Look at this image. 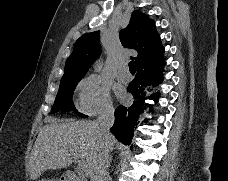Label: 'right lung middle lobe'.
Instances as JSON below:
<instances>
[{"label": "right lung middle lobe", "mask_w": 228, "mask_h": 181, "mask_svg": "<svg viewBox=\"0 0 228 181\" xmlns=\"http://www.w3.org/2000/svg\"><path fill=\"white\" fill-rule=\"evenodd\" d=\"M79 81L80 80L60 83V89L56 96V99L52 108V113H55L57 110L76 112V109L72 101V96H73V91ZM77 115L82 118L87 117L82 113H77Z\"/></svg>", "instance_id": "1"}]
</instances>
